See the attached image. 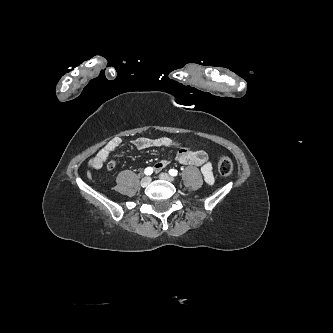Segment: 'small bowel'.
<instances>
[{"label":"small bowel","mask_w":333,"mask_h":333,"mask_svg":"<svg viewBox=\"0 0 333 333\" xmlns=\"http://www.w3.org/2000/svg\"><path fill=\"white\" fill-rule=\"evenodd\" d=\"M121 139L119 137L112 138L104 147H102L97 154L91 159L90 167L93 169H100L106 165L108 170H113L115 168V161L110 159V155L115 151V149L121 144ZM133 146L139 150H144L153 147L161 146H173L179 145V142L174 139L161 136L157 138L139 137L131 142ZM175 159L180 164L184 165H195L200 166L201 173L207 184L211 185L214 182L213 168L210 162H208L207 154L202 149H188L181 148L176 154ZM169 161L167 159L159 160L155 165V171H160L168 165Z\"/></svg>","instance_id":"1"}]
</instances>
